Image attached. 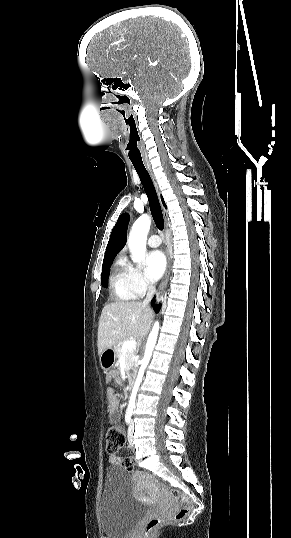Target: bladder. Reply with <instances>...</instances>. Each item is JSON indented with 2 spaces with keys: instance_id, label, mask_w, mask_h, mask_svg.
Returning a JSON list of instances; mask_svg holds the SVG:
<instances>
[{
  "instance_id": "bladder-1",
  "label": "bladder",
  "mask_w": 291,
  "mask_h": 538,
  "mask_svg": "<svg viewBox=\"0 0 291 538\" xmlns=\"http://www.w3.org/2000/svg\"><path fill=\"white\" fill-rule=\"evenodd\" d=\"M149 507L133 496L129 474L109 467L99 502V524L105 538H126Z\"/></svg>"
}]
</instances>
